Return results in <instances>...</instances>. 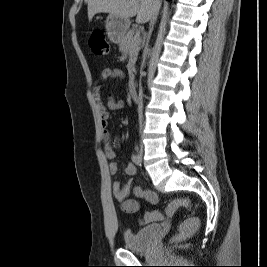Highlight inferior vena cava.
I'll return each instance as SVG.
<instances>
[{"instance_id":"1","label":"inferior vena cava","mask_w":267,"mask_h":267,"mask_svg":"<svg viewBox=\"0 0 267 267\" xmlns=\"http://www.w3.org/2000/svg\"><path fill=\"white\" fill-rule=\"evenodd\" d=\"M157 14L158 13H155L154 16L152 17L151 21H150L149 36L151 35V33L153 31V27H154V24H155L156 19H157ZM142 108H143L142 92H140L139 99H138V112H139L140 118L142 117Z\"/></svg>"}]
</instances>
